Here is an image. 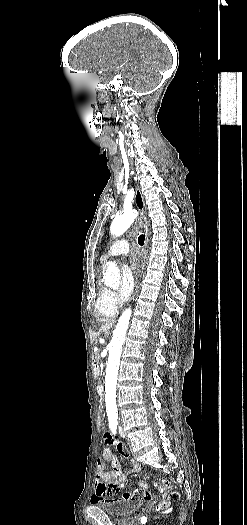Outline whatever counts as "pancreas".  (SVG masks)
I'll return each mask as SVG.
<instances>
[{"label":"pancreas","instance_id":"1","mask_svg":"<svg viewBox=\"0 0 247 525\" xmlns=\"http://www.w3.org/2000/svg\"><path fill=\"white\" fill-rule=\"evenodd\" d=\"M98 352H99V349H94V361L99 360V354H98Z\"/></svg>","mask_w":247,"mask_h":525}]
</instances>
